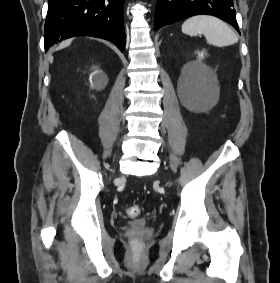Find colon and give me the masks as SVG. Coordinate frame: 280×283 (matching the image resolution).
<instances>
[{"label": "colon", "mask_w": 280, "mask_h": 283, "mask_svg": "<svg viewBox=\"0 0 280 283\" xmlns=\"http://www.w3.org/2000/svg\"><path fill=\"white\" fill-rule=\"evenodd\" d=\"M140 209L138 206H131L127 209V215L131 218H135L139 215Z\"/></svg>", "instance_id": "colon-1"}]
</instances>
